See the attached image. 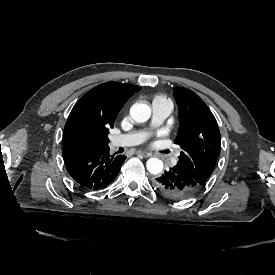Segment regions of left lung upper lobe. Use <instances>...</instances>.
I'll return each mask as SVG.
<instances>
[{
	"label": "left lung upper lobe",
	"instance_id": "1",
	"mask_svg": "<svg viewBox=\"0 0 275 275\" xmlns=\"http://www.w3.org/2000/svg\"><path fill=\"white\" fill-rule=\"evenodd\" d=\"M173 92L180 122L174 143L182 149L177 165L204 185L220 153V131L214 115L198 95L182 87L173 88Z\"/></svg>",
	"mask_w": 275,
	"mask_h": 275
}]
</instances>
